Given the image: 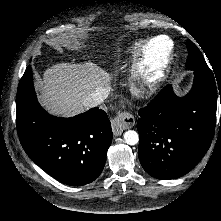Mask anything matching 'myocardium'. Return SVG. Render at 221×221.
Here are the masks:
<instances>
[{
  "mask_svg": "<svg viewBox=\"0 0 221 221\" xmlns=\"http://www.w3.org/2000/svg\"><path fill=\"white\" fill-rule=\"evenodd\" d=\"M158 38L168 42L167 50L161 56L153 55L151 47ZM175 52L173 40L167 35H158L145 40L139 50V56L130 69L132 89L138 96L152 93L167 76Z\"/></svg>",
  "mask_w": 221,
  "mask_h": 221,
  "instance_id": "1",
  "label": "myocardium"
}]
</instances>
